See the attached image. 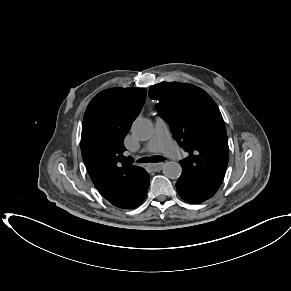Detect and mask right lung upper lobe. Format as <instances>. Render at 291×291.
Wrapping results in <instances>:
<instances>
[{"label":"right lung upper lobe","instance_id":"1","mask_svg":"<svg viewBox=\"0 0 291 291\" xmlns=\"http://www.w3.org/2000/svg\"><path fill=\"white\" fill-rule=\"evenodd\" d=\"M146 99L144 88H111L88 104L81 134L82 158L98 191L110 203H129L140 195L147 172L124 157L123 139Z\"/></svg>","mask_w":291,"mask_h":291}]
</instances>
